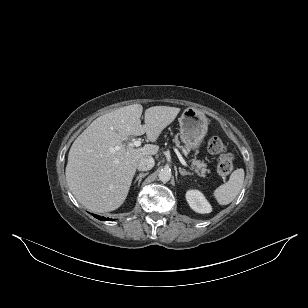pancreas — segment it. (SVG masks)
Segmentation results:
<instances>
[{"mask_svg": "<svg viewBox=\"0 0 308 308\" xmlns=\"http://www.w3.org/2000/svg\"><path fill=\"white\" fill-rule=\"evenodd\" d=\"M173 141L176 143V145H177L178 147H181V146H180V142H179L177 136H175V138H174ZM186 151H189V149L186 148ZM206 166H207V164H206L204 161H200V160H196V159H192V160H191V168H192V169H195L196 173H197L198 175L202 176V177H204V176H205V173L208 171V170L206 169Z\"/></svg>", "mask_w": 308, "mask_h": 308, "instance_id": "cf45deb5", "label": "pancreas"}]
</instances>
